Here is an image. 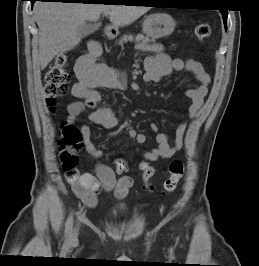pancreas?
<instances>
[{
    "label": "pancreas",
    "mask_w": 259,
    "mask_h": 266,
    "mask_svg": "<svg viewBox=\"0 0 259 266\" xmlns=\"http://www.w3.org/2000/svg\"><path fill=\"white\" fill-rule=\"evenodd\" d=\"M135 42L139 45H141L144 49L147 50H153V46L150 45L151 42H154V40H151L149 37H145L143 34H138L137 36L133 35H124L121 40L119 41V44L127 43V42Z\"/></svg>",
    "instance_id": "1"
}]
</instances>
